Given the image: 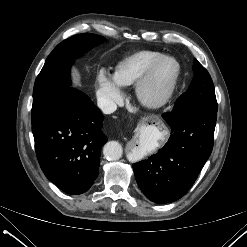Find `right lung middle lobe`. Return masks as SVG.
<instances>
[{
	"mask_svg": "<svg viewBox=\"0 0 247 247\" xmlns=\"http://www.w3.org/2000/svg\"><path fill=\"white\" fill-rule=\"evenodd\" d=\"M104 41V37L83 33L57 45L36 78L33 90L32 124L41 120L70 87V68L86 49Z\"/></svg>",
	"mask_w": 247,
	"mask_h": 247,
	"instance_id": "1",
	"label": "right lung middle lobe"
}]
</instances>
